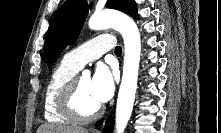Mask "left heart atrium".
I'll return each instance as SVG.
<instances>
[{
  "mask_svg": "<svg viewBox=\"0 0 221 133\" xmlns=\"http://www.w3.org/2000/svg\"><path fill=\"white\" fill-rule=\"evenodd\" d=\"M115 89V73L107 66L98 65L91 79V90L97 102H107L114 93Z\"/></svg>",
  "mask_w": 221,
  "mask_h": 133,
  "instance_id": "1",
  "label": "left heart atrium"
}]
</instances>
